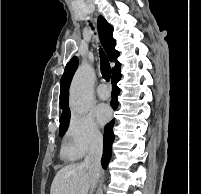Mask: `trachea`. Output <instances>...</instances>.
Wrapping results in <instances>:
<instances>
[{"label":"trachea","instance_id":"1","mask_svg":"<svg viewBox=\"0 0 201 194\" xmlns=\"http://www.w3.org/2000/svg\"><path fill=\"white\" fill-rule=\"evenodd\" d=\"M100 61H101L100 70H101L102 77L106 81H109L111 77V67L106 55L101 49H100Z\"/></svg>","mask_w":201,"mask_h":194}]
</instances>
